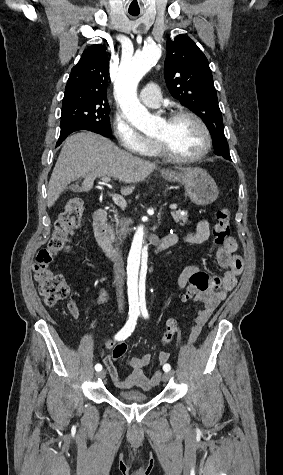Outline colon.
Segmentation results:
<instances>
[{
    "label": "colon",
    "mask_w": 283,
    "mask_h": 475,
    "mask_svg": "<svg viewBox=\"0 0 283 475\" xmlns=\"http://www.w3.org/2000/svg\"><path fill=\"white\" fill-rule=\"evenodd\" d=\"M85 209L82 200L71 198L60 213L55 224L52 237L47 248L40 250L35 258L34 280L39 288L40 295L45 305L53 307L58 303L69 301L71 287L62 275L55 273L50 266L54 263L57 255L69 250L70 238L81 224ZM215 223L212 226L214 246H222L230 236V211L220 208L215 212ZM211 273L207 270H199L191 274L186 289L187 295L195 296L199 291H204L213 284ZM69 312L76 314L77 308L73 303L68 305ZM178 330L175 318H169L162 334L161 342L167 346L174 338ZM168 351L162 350L158 356L160 363L167 361Z\"/></svg>",
    "instance_id": "colon-1"
}]
</instances>
